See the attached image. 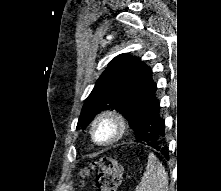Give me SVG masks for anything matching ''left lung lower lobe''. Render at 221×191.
I'll use <instances>...</instances> for the list:
<instances>
[{"mask_svg": "<svg viewBox=\"0 0 221 191\" xmlns=\"http://www.w3.org/2000/svg\"><path fill=\"white\" fill-rule=\"evenodd\" d=\"M156 90L151 69L141 62L131 96L134 133H138L139 139L147 142L149 146L160 151L168 159L165 121L160 115V102L155 96Z\"/></svg>", "mask_w": 221, "mask_h": 191, "instance_id": "0a47b994", "label": "left lung lower lobe"}]
</instances>
